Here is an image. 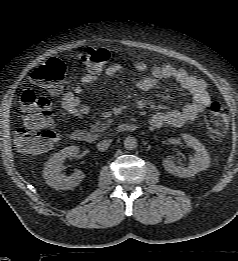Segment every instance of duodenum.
<instances>
[{
  "label": "duodenum",
  "mask_w": 238,
  "mask_h": 261,
  "mask_svg": "<svg viewBox=\"0 0 238 261\" xmlns=\"http://www.w3.org/2000/svg\"><path fill=\"white\" fill-rule=\"evenodd\" d=\"M137 129V126L132 123H122L117 127V131L128 133ZM70 138L78 143L93 144L97 140V136L94 133L85 130H75L70 134Z\"/></svg>",
  "instance_id": "410a0bca"
}]
</instances>
